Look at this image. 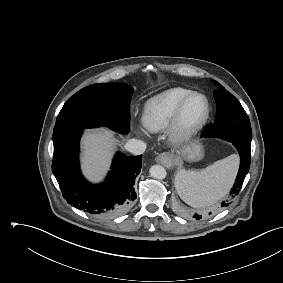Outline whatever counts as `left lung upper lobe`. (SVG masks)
Here are the masks:
<instances>
[{"label":"left lung upper lobe","instance_id":"5c2ea615","mask_svg":"<svg viewBox=\"0 0 283 283\" xmlns=\"http://www.w3.org/2000/svg\"><path fill=\"white\" fill-rule=\"evenodd\" d=\"M214 91L217 115L213 125L207 128L208 135L230 142L251 145L252 130L249 118L240 102L218 82Z\"/></svg>","mask_w":283,"mask_h":283}]
</instances>
